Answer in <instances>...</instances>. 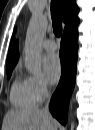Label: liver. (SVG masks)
<instances>
[{
    "label": "liver",
    "instance_id": "liver-1",
    "mask_svg": "<svg viewBox=\"0 0 95 130\" xmlns=\"http://www.w3.org/2000/svg\"><path fill=\"white\" fill-rule=\"evenodd\" d=\"M57 121L39 109L8 110L2 130H57Z\"/></svg>",
    "mask_w": 95,
    "mask_h": 130
}]
</instances>
